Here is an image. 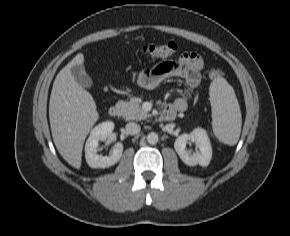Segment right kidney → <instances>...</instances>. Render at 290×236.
Instances as JSON below:
<instances>
[{"label": "right kidney", "instance_id": "obj_1", "mask_svg": "<svg viewBox=\"0 0 290 236\" xmlns=\"http://www.w3.org/2000/svg\"><path fill=\"white\" fill-rule=\"evenodd\" d=\"M114 123L111 121L102 122L91 130L90 136L85 144L86 162L91 168H107L116 164L123 152V144L118 142L112 148L110 156L97 154L99 141L105 140L113 131Z\"/></svg>", "mask_w": 290, "mask_h": 236}]
</instances>
